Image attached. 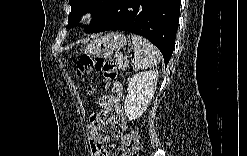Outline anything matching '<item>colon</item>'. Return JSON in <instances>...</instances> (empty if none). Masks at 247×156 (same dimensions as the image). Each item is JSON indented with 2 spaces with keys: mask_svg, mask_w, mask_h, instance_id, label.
<instances>
[{
  "mask_svg": "<svg viewBox=\"0 0 247 156\" xmlns=\"http://www.w3.org/2000/svg\"><path fill=\"white\" fill-rule=\"evenodd\" d=\"M77 74L79 78L88 84V92L91 95L96 93L94 85L88 80L89 75L94 71L101 72L108 80H114L117 77V68L115 62L104 56L91 57L82 55L77 60ZM132 142L129 155H136L139 150V135L136 130L130 132Z\"/></svg>",
  "mask_w": 247,
  "mask_h": 156,
  "instance_id": "colon-1",
  "label": "colon"
}]
</instances>
